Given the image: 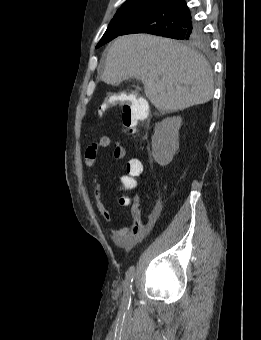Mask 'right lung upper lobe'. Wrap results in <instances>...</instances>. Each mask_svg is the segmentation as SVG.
<instances>
[{
	"mask_svg": "<svg viewBox=\"0 0 261 340\" xmlns=\"http://www.w3.org/2000/svg\"><path fill=\"white\" fill-rule=\"evenodd\" d=\"M161 0H127L125 4L136 3V2H156L159 3Z\"/></svg>",
	"mask_w": 261,
	"mask_h": 340,
	"instance_id": "1",
	"label": "right lung upper lobe"
}]
</instances>
